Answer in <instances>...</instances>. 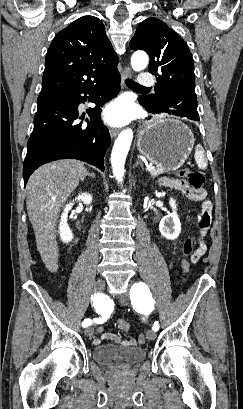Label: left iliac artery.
I'll use <instances>...</instances> for the list:
<instances>
[{"label":"left iliac artery","instance_id":"1","mask_svg":"<svg viewBox=\"0 0 243 409\" xmlns=\"http://www.w3.org/2000/svg\"><path fill=\"white\" fill-rule=\"evenodd\" d=\"M148 291H149L148 287L144 283H136L133 285L130 292V298L134 308L138 307L139 304L142 302L143 303L147 302L150 308L152 309L154 308L152 298L150 300L148 298V295L146 294ZM152 329L154 331H158L159 329L158 322L154 323Z\"/></svg>","mask_w":243,"mask_h":409}]
</instances>
